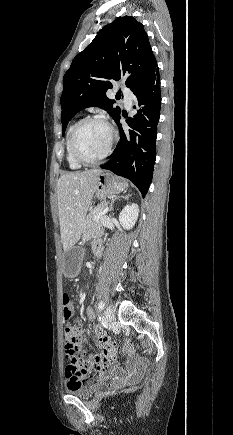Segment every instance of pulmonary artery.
<instances>
[{
	"label": "pulmonary artery",
	"mask_w": 233,
	"mask_h": 435,
	"mask_svg": "<svg viewBox=\"0 0 233 435\" xmlns=\"http://www.w3.org/2000/svg\"><path fill=\"white\" fill-rule=\"evenodd\" d=\"M120 92L124 98V103L127 107H130L134 98L133 93L126 87H121Z\"/></svg>",
	"instance_id": "e3ab8cb5"
}]
</instances>
